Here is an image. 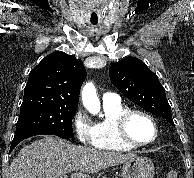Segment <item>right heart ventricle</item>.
I'll return each mask as SVG.
<instances>
[{
  "label": "right heart ventricle",
  "mask_w": 194,
  "mask_h": 178,
  "mask_svg": "<svg viewBox=\"0 0 194 178\" xmlns=\"http://www.w3.org/2000/svg\"><path fill=\"white\" fill-rule=\"evenodd\" d=\"M105 118L94 124V147L101 150L126 151L135 147L122 143L116 134L115 120L126 110L120 102L103 103Z\"/></svg>",
  "instance_id": "1"
}]
</instances>
